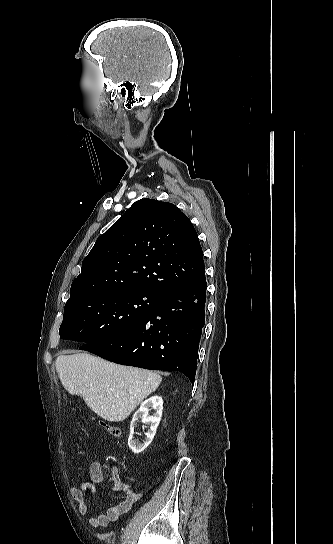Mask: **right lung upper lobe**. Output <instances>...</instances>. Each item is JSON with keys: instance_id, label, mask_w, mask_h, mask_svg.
Returning a JSON list of instances; mask_svg holds the SVG:
<instances>
[{"instance_id": "cb5924a9", "label": "right lung upper lobe", "mask_w": 333, "mask_h": 544, "mask_svg": "<svg viewBox=\"0 0 333 544\" xmlns=\"http://www.w3.org/2000/svg\"><path fill=\"white\" fill-rule=\"evenodd\" d=\"M205 276L196 230L174 204L141 199L100 236L66 302L104 292L164 294Z\"/></svg>"}]
</instances>
